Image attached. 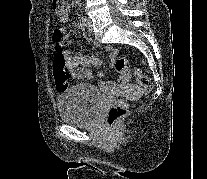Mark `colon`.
Returning <instances> with one entry per match:
<instances>
[{
	"mask_svg": "<svg viewBox=\"0 0 207 179\" xmlns=\"http://www.w3.org/2000/svg\"><path fill=\"white\" fill-rule=\"evenodd\" d=\"M52 8L57 16H62L68 10V4L66 0H52ZM52 40L54 43V59L53 68L57 79V83L61 88L68 86V65L67 60L62 51V34L59 30L53 32ZM115 68L121 73L123 77H130V71L127 67L126 58H120L115 63ZM134 75L139 84V91L141 93H148L152 89L151 81L141 73L139 69L134 71ZM127 114V103L123 100L114 103L107 112L106 120L110 126L116 125Z\"/></svg>",
	"mask_w": 207,
	"mask_h": 179,
	"instance_id": "obj_1",
	"label": "colon"
}]
</instances>
